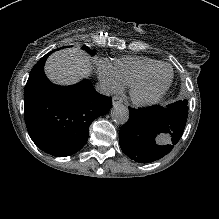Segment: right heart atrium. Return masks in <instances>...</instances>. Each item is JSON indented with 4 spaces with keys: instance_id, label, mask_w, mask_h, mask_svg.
Returning <instances> with one entry per match:
<instances>
[{
    "instance_id": "d8ad5b80",
    "label": "right heart atrium",
    "mask_w": 219,
    "mask_h": 219,
    "mask_svg": "<svg viewBox=\"0 0 219 219\" xmlns=\"http://www.w3.org/2000/svg\"><path fill=\"white\" fill-rule=\"evenodd\" d=\"M98 77L107 90L114 93L122 91L123 84L117 79L108 63L101 62L99 64Z\"/></svg>"
}]
</instances>
